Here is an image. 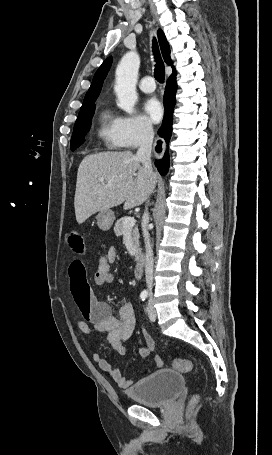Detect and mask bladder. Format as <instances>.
Instances as JSON below:
<instances>
[{
    "mask_svg": "<svg viewBox=\"0 0 272 455\" xmlns=\"http://www.w3.org/2000/svg\"><path fill=\"white\" fill-rule=\"evenodd\" d=\"M184 387L181 373L161 369L139 380L128 390V396L135 402L147 406H164L173 401Z\"/></svg>",
    "mask_w": 272,
    "mask_h": 455,
    "instance_id": "31cf9c89",
    "label": "bladder"
}]
</instances>
